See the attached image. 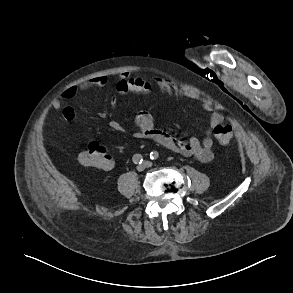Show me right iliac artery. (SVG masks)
<instances>
[{"label":"right iliac artery","instance_id":"82829eb1","mask_svg":"<svg viewBox=\"0 0 293 293\" xmlns=\"http://www.w3.org/2000/svg\"><path fill=\"white\" fill-rule=\"evenodd\" d=\"M132 160H133V162H134L135 164H141L142 161H143V157H142V155H140V154H135V155L133 156Z\"/></svg>","mask_w":293,"mask_h":293}]
</instances>
